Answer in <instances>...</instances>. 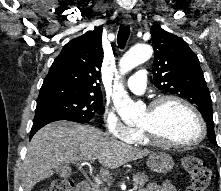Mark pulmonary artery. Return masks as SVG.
I'll return each mask as SVG.
<instances>
[{"mask_svg":"<svg viewBox=\"0 0 221 191\" xmlns=\"http://www.w3.org/2000/svg\"><path fill=\"white\" fill-rule=\"evenodd\" d=\"M127 87L136 94H142L146 90V70L140 69L127 81Z\"/></svg>","mask_w":221,"mask_h":191,"instance_id":"1","label":"pulmonary artery"}]
</instances>
